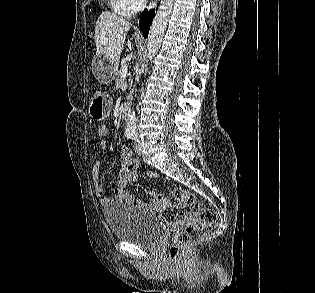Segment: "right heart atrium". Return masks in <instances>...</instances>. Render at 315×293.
<instances>
[{
  "mask_svg": "<svg viewBox=\"0 0 315 293\" xmlns=\"http://www.w3.org/2000/svg\"><path fill=\"white\" fill-rule=\"evenodd\" d=\"M126 2L132 11H137L144 7L146 0H126Z\"/></svg>",
  "mask_w": 315,
  "mask_h": 293,
  "instance_id": "obj_1",
  "label": "right heart atrium"
}]
</instances>
